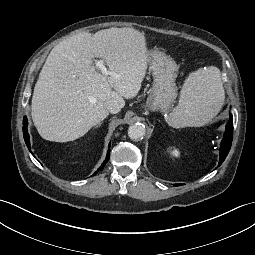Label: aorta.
I'll use <instances>...</instances> for the list:
<instances>
[{
  "instance_id": "aorta-1",
  "label": "aorta",
  "mask_w": 255,
  "mask_h": 255,
  "mask_svg": "<svg viewBox=\"0 0 255 255\" xmlns=\"http://www.w3.org/2000/svg\"><path fill=\"white\" fill-rule=\"evenodd\" d=\"M146 129L141 123L133 124L128 129V136L132 140H140L145 136Z\"/></svg>"
}]
</instances>
